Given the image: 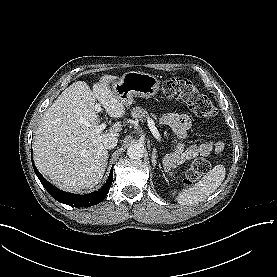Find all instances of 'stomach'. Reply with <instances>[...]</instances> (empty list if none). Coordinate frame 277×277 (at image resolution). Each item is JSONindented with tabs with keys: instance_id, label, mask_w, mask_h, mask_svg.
<instances>
[{
	"instance_id": "1",
	"label": "stomach",
	"mask_w": 277,
	"mask_h": 277,
	"mask_svg": "<svg viewBox=\"0 0 277 277\" xmlns=\"http://www.w3.org/2000/svg\"><path fill=\"white\" fill-rule=\"evenodd\" d=\"M159 87L160 80L155 75L129 71L113 84L112 91L128 107L133 103V97L150 98L157 94Z\"/></svg>"
}]
</instances>
